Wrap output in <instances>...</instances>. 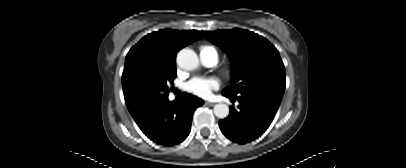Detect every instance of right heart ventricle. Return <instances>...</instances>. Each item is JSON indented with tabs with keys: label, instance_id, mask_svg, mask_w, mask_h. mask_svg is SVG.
I'll return each instance as SVG.
<instances>
[{
	"label": "right heart ventricle",
	"instance_id": "1",
	"mask_svg": "<svg viewBox=\"0 0 406 168\" xmlns=\"http://www.w3.org/2000/svg\"><path fill=\"white\" fill-rule=\"evenodd\" d=\"M208 52H214L218 58V53L214 47H212L210 45H202L200 47V53H208Z\"/></svg>",
	"mask_w": 406,
	"mask_h": 168
}]
</instances>
